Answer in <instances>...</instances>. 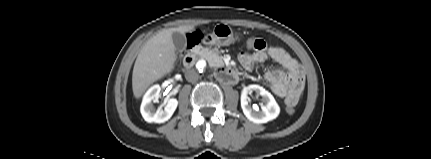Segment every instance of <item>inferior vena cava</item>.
<instances>
[{
    "label": "inferior vena cava",
    "instance_id": "inferior-vena-cava-1",
    "mask_svg": "<svg viewBox=\"0 0 431 159\" xmlns=\"http://www.w3.org/2000/svg\"><path fill=\"white\" fill-rule=\"evenodd\" d=\"M185 78L188 82L195 83L199 79V74L194 69H189L185 73Z\"/></svg>",
    "mask_w": 431,
    "mask_h": 159
}]
</instances>
